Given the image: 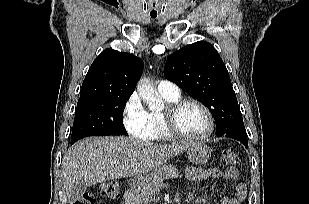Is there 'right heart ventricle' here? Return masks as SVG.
Returning a JSON list of instances; mask_svg holds the SVG:
<instances>
[{
    "mask_svg": "<svg viewBox=\"0 0 309 204\" xmlns=\"http://www.w3.org/2000/svg\"><path fill=\"white\" fill-rule=\"evenodd\" d=\"M161 96L168 105L180 99V94L176 96L161 94ZM147 122L150 128V133L147 139L153 141H167L171 139L164 124L162 111L147 112Z\"/></svg>",
    "mask_w": 309,
    "mask_h": 204,
    "instance_id": "1",
    "label": "right heart ventricle"
}]
</instances>
